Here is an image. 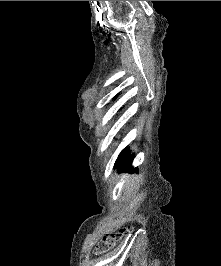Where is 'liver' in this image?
Segmentation results:
<instances>
[{
  "mask_svg": "<svg viewBox=\"0 0 221 266\" xmlns=\"http://www.w3.org/2000/svg\"><path fill=\"white\" fill-rule=\"evenodd\" d=\"M133 186H135V180H134V178H131L127 181V183L125 184V187L129 188V187H133Z\"/></svg>",
  "mask_w": 221,
  "mask_h": 266,
  "instance_id": "6515ba94",
  "label": "liver"
}]
</instances>
